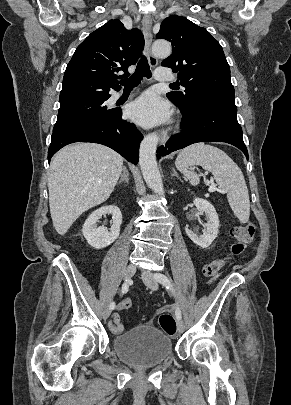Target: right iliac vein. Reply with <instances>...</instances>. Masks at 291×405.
Listing matches in <instances>:
<instances>
[{
  "mask_svg": "<svg viewBox=\"0 0 291 405\" xmlns=\"http://www.w3.org/2000/svg\"><path fill=\"white\" fill-rule=\"evenodd\" d=\"M136 272V267L132 264L128 265L124 271V279H130ZM111 314V309L106 307L103 311V318L107 319Z\"/></svg>",
  "mask_w": 291,
  "mask_h": 405,
  "instance_id": "1",
  "label": "right iliac vein"
}]
</instances>
